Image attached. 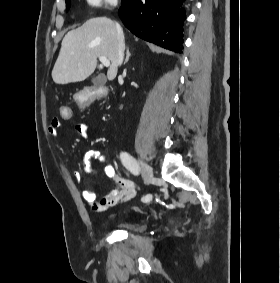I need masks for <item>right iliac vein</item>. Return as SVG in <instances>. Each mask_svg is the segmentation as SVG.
I'll return each mask as SVG.
<instances>
[{
  "label": "right iliac vein",
  "instance_id": "right-iliac-vein-1",
  "mask_svg": "<svg viewBox=\"0 0 280 283\" xmlns=\"http://www.w3.org/2000/svg\"><path fill=\"white\" fill-rule=\"evenodd\" d=\"M141 170H142V176H143L144 183L149 185L153 179L152 168L145 162L141 161Z\"/></svg>",
  "mask_w": 280,
  "mask_h": 283
}]
</instances>
